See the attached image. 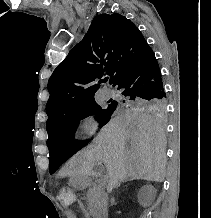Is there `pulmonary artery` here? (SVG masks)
<instances>
[{"mask_svg":"<svg viewBox=\"0 0 211 218\" xmlns=\"http://www.w3.org/2000/svg\"><path fill=\"white\" fill-rule=\"evenodd\" d=\"M102 95L105 99H110L114 96V91L109 87L105 86L102 90Z\"/></svg>","mask_w":211,"mask_h":218,"instance_id":"e3ab8cb5","label":"pulmonary artery"}]
</instances>
